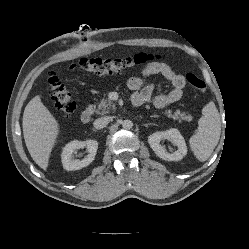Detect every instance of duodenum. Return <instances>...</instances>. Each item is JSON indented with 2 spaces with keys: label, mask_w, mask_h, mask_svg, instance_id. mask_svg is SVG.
Returning a JSON list of instances; mask_svg holds the SVG:
<instances>
[{
  "label": "duodenum",
  "mask_w": 249,
  "mask_h": 249,
  "mask_svg": "<svg viewBox=\"0 0 249 249\" xmlns=\"http://www.w3.org/2000/svg\"><path fill=\"white\" fill-rule=\"evenodd\" d=\"M93 115V110L91 108L85 109L81 114V121L83 123H89Z\"/></svg>",
  "instance_id": "410a0bca"
}]
</instances>
